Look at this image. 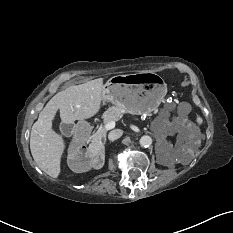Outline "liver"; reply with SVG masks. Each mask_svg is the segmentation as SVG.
Listing matches in <instances>:
<instances>
[{
	"mask_svg": "<svg viewBox=\"0 0 233 233\" xmlns=\"http://www.w3.org/2000/svg\"><path fill=\"white\" fill-rule=\"evenodd\" d=\"M103 79L74 85L55 94L39 113L30 135V150L35 163L46 174L57 178L65 149L62 135L52 129V121L60 111L64 124L85 120L96 115L103 102Z\"/></svg>",
	"mask_w": 233,
	"mask_h": 233,
	"instance_id": "1",
	"label": "liver"
}]
</instances>
